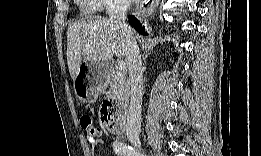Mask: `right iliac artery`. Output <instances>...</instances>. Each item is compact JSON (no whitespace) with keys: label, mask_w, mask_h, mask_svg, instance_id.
Listing matches in <instances>:
<instances>
[{"label":"right iliac artery","mask_w":261,"mask_h":156,"mask_svg":"<svg viewBox=\"0 0 261 156\" xmlns=\"http://www.w3.org/2000/svg\"><path fill=\"white\" fill-rule=\"evenodd\" d=\"M115 153L123 156H139L140 152L133 149L131 146L123 143V142H115L114 143Z\"/></svg>","instance_id":"82829eb1"}]
</instances>
